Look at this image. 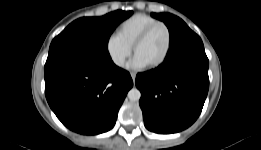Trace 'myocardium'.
<instances>
[{
	"label": "myocardium",
	"instance_id": "myocardium-1",
	"mask_svg": "<svg viewBox=\"0 0 261 150\" xmlns=\"http://www.w3.org/2000/svg\"><path fill=\"white\" fill-rule=\"evenodd\" d=\"M157 27H163L166 30L167 33V47H166V51L164 53V55L155 63H153L152 65L148 66L151 69H156L160 66H162L166 60L168 59L170 52H171V47H172V33L171 30L169 28V26L161 21H158L156 23H153L151 25H149L135 40L132 49H133V53H136L137 48L149 37V35L153 32V30H155Z\"/></svg>",
	"mask_w": 261,
	"mask_h": 150
}]
</instances>
